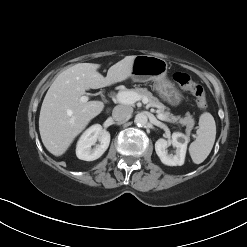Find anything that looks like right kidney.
Wrapping results in <instances>:
<instances>
[{"mask_svg":"<svg viewBox=\"0 0 247 247\" xmlns=\"http://www.w3.org/2000/svg\"><path fill=\"white\" fill-rule=\"evenodd\" d=\"M99 141L100 144L96 145ZM110 144V133L103 130L99 124L89 127L80 137L77 147L76 155L79 159L85 161H93L100 158L108 149ZM96 145V146H94ZM92 146H94L92 148Z\"/></svg>","mask_w":247,"mask_h":247,"instance_id":"ca27d5eb","label":"right kidney"}]
</instances>
